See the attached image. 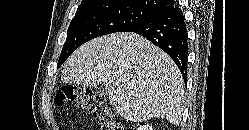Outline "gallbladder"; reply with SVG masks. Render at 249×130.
Returning <instances> with one entry per match:
<instances>
[{
    "mask_svg": "<svg viewBox=\"0 0 249 130\" xmlns=\"http://www.w3.org/2000/svg\"><path fill=\"white\" fill-rule=\"evenodd\" d=\"M96 93H97L99 96L106 97V96L108 95V89H107L106 86L101 85V86L97 87Z\"/></svg>",
    "mask_w": 249,
    "mask_h": 130,
    "instance_id": "gallbladder-1",
    "label": "gallbladder"
}]
</instances>
